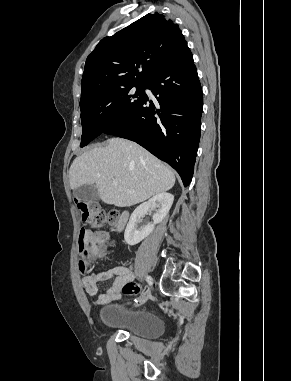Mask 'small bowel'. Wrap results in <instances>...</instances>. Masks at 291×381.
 <instances>
[{
  "mask_svg": "<svg viewBox=\"0 0 291 381\" xmlns=\"http://www.w3.org/2000/svg\"><path fill=\"white\" fill-rule=\"evenodd\" d=\"M111 240L110 233L104 230L90 231V243L94 257L103 256L108 249ZM133 273L125 266H115L111 269L101 271L95 275H86L82 278V286L86 293L95 296L98 293V282L113 279V284L97 299L98 304H104L113 300H118L122 296V287L133 281Z\"/></svg>",
  "mask_w": 291,
  "mask_h": 381,
  "instance_id": "c3829d8e",
  "label": "small bowel"
}]
</instances>
